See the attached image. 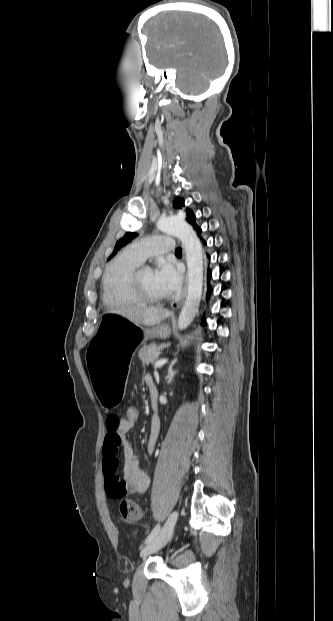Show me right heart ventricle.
Returning <instances> with one entry per match:
<instances>
[{
    "mask_svg": "<svg viewBox=\"0 0 333 621\" xmlns=\"http://www.w3.org/2000/svg\"><path fill=\"white\" fill-rule=\"evenodd\" d=\"M140 264L128 252L117 256L110 263L102 280V299L106 306L120 307L140 303L128 290L130 276Z\"/></svg>",
    "mask_w": 333,
    "mask_h": 621,
    "instance_id": "e07e8e85",
    "label": "right heart ventricle"
}]
</instances>
